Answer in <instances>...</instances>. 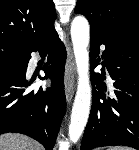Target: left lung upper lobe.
I'll return each instance as SVG.
<instances>
[{"label": "left lung upper lobe", "mask_w": 139, "mask_h": 150, "mask_svg": "<svg viewBox=\"0 0 139 150\" xmlns=\"http://www.w3.org/2000/svg\"><path fill=\"white\" fill-rule=\"evenodd\" d=\"M75 12L88 19L90 32L107 42L139 28V0H78Z\"/></svg>", "instance_id": "obj_1"}]
</instances>
